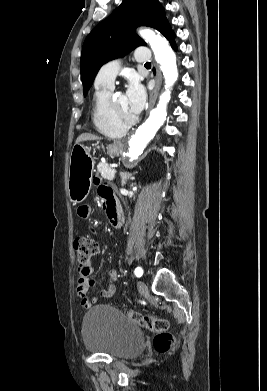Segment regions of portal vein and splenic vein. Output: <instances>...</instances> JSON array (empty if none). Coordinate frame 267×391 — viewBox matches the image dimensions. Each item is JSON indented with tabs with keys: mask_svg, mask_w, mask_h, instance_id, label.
<instances>
[{
	"mask_svg": "<svg viewBox=\"0 0 267 391\" xmlns=\"http://www.w3.org/2000/svg\"><path fill=\"white\" fill-rule=\"evenodd\" d=\"M116 167H117L116 164H112V165H111V168H112L113 170H115Z\"/></svg>",
	"mask_w": 267,
	"mask_h": 391,
	"instance_id": "portal-vein-and-splenic-vein-1",
	"label": "portal vein and splenic vein"
}]
</instances>
